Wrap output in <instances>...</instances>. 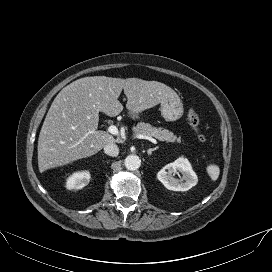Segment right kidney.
Listing matches in <instances>:
<instances>
[{
	"label": "right kidney",
	"mask_w": 272,
	"mask_h": 272,
	"mask_svg": "<svg viewBox=\"0 0 272 272\" xmlns=\"http://www.w3.org/2000/svg\"><path fill=\"white\" fill-rule=\"evenodd\" d=\"M90 181L89 171L75 172L70 177L67 178L66 188L71 189H82L88 185Z\"/></svg>",
	"instance_id": "1"
}]
</instances>
